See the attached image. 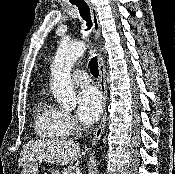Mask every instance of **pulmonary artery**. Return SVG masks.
Wrapping results in <instances>:
<instances>
[{"label":"pulmonary artery","instance_id":"e3ab8cb5","mask_svg":"<svg viewBox=\"0 0 175 174\" xmlns=\"http://www.w3.org/2000/svg\"><path fill=\"white\" fill-rule=\"evenodd\" d=\"M72 80L75 84L84 86L89 83V76L84 70H77L72 74Z\"/></svg>","mask_w":175,"mask_h":174}]
</instances>
